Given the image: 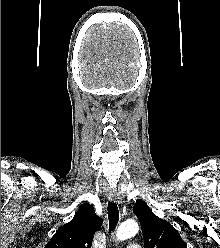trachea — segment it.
<instances>
[{"mask_svg":"<svg viewBox=\"0 0 220 248\" xmlns=\"http://www.w3.org/2000/svg\"><path fill=\"white\" fill-rule=\"evenodd\" d=\"M108 219H109V226L110 229L113 230L119 221V210L118 206L115 202L108 203Z\"/></svg>","mask_w":220,"mask_h":248,"instance_id":"3493384b","label":"trachea"}]
</instances>
